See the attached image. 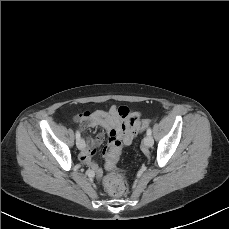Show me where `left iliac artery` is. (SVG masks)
I'll return each instance as SVG.
<instances>
[{
  "instance_id": "obj_1",
  "label": "left iliac artery",
  "mask_w": 229,
  "mask_h": 229,
  "mask_svg": "<svg viewBox=\"0 0 229 229\" xmlns=\"http://www.w3.org/2000/svg\"><path fill=\"white\" fill-rule=\"evenodd\" d=\"M152 134V130H151V128H148L147 129V135H151Z\"/></svg>"
}]
</instances>
